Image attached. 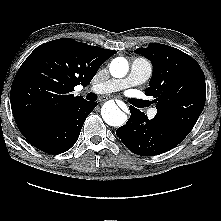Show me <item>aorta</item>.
I'll return each instance as SVG.
<instances>
[{"mask_svg":"<svg viewBox=\"0 0 221 221\" xmlns=\"http://www.w3.org/2000/svg\"><path fill=\"white\" fill-rule=\"evenodd\" d=\"M128 69V61L123 57L113 59L109 66L110 73L115 78L124 77ZM101 115L108 125L114 127L122 126L127 120L126 114L118 108L114 101H107L103 105Z\"/></svg>","mask_w":221,"mask_h":221,"instance_id":"762f6f07","label":"aorta"}]
</instances>
